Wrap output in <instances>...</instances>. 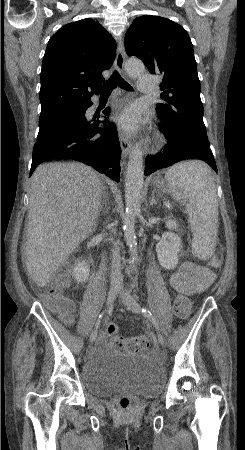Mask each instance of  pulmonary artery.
Masks as SVG:
<instances>
[{
  "mask_svg": "<svg viewBox=\"0 0 245 450\" xmlns=\"http://www.w3.org/2000/svg\"><path fill=\"white\" fill-rule=\"evenodd\" d=\"M139 89L138 92L142 95L152 94L155 92L156 88V78L151 75H141L138 78Z\"/></svg>",
  "mask_w": 245,
  "mask_h": 450,
  "instance_id": "1",
  "label": "pulmonary artery"
}]
</instances>
